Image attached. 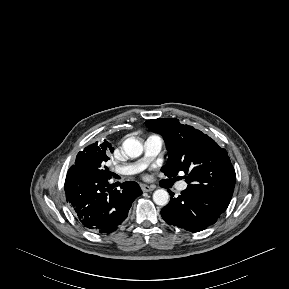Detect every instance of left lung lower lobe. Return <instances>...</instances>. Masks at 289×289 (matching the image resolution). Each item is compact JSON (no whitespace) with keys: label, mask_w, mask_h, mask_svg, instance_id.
Masks as SVG:
<instances>
[{"label":"left lung lower lobe","mask_w":289,"mask_h":289,"mask_svg":"<svg viewBox=\"0 0 289 289\" xmlns=\"http://www.w3.org/2000/svg\"><path fill=\"white\" fill-rule=\"evenodd\" d=\"M170 195V202L161 210L163 219L169 225L191 232H199L213 225L229 204L188 187L177 198L173 197L172 192Z\"/></svg>","instance_id":"obj_1"}]
</instances>
